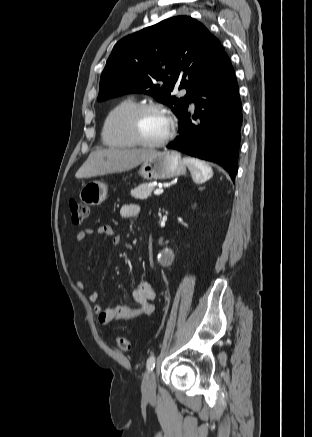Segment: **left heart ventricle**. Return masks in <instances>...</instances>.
<instances>
[{
    "instance_id": "obj_1",
    "label": "left heart ventricle",
    "mask_w": 312,
    "mask_h": 437,
    "mask_svg": "<svg viewBox=\"0 0 312 437\" xmlns=\"http://www.w3.org/2000/svg\"><path fill=\"white\" fill-rule=\"evenodd\" d=\"M139 127L143 138L149 141H158L167 134L169 122L162 113L148 111L140 117Z\"/></svg>"
}]
</instances>
